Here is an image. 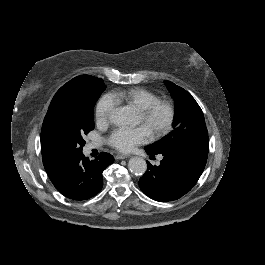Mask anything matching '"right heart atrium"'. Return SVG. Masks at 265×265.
<instances>
[{
	"label": "right heart atrium",
	"mask_w": 265,
	"mask_h": 265,
	"mask_svg": "<svg viewBox=\"0 0 265 265\" xmlns=\"http://www.w3.org/2000/svg\"><path fill=\"white\" fill-rule=\"evenodd\" d=\"M116 109V103L110 95L102 96L96 104L95 119L99 125H106Z\"/></svg>",
	"instance_id": "right-heart-atrium-1"
}]
</instances>
